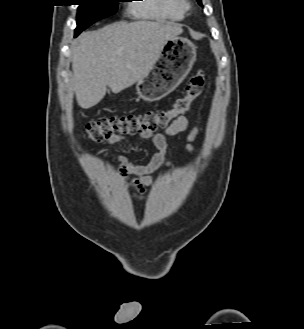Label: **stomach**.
<instances>
[{
	"label": "stomach",
	"mask_w": 304,
	"mask_h": 329,
	"mask_svg": "<svg viewBox=\"0 0 304 329\" xmlns=\"http://www.w3.org/2000/svg\"><path fill=\"white\" fill-rule=\"evenodd\" d=\"M195 61L196 46L189 39L167 40L148 74L137 82L138 96L147 102L164 98L184 80Z\"/></svg>",
	"instance_id": "1"
}]
</instances>
